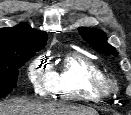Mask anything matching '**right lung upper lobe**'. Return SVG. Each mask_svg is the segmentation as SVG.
Segmentation results:
<instances>
[{
	"label": "right lung upper lobe",
	"mask_w": 131,
	"mask_h": 115,
	"mask_svg": "<svg viewBox=\"0 0 131 115\" xmlns=\"http://www.w3.org/2000/svg\"><path fill=\"white\" fill-rule=\"evenodd\" d=\"M47 41L45 32L32 29L25 23L0 29V64H7L15 55L24 51H39Z\"/></svg>",
	"instance_id": "right-lung-upper-lobe-1"
}]
</instances>
